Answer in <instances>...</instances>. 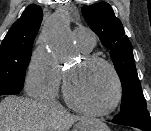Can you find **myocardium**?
<instances>
[{"instance_id":"obj_1","label":"myocardium","mask_w":151,"mask_h":131,"mask_svg":"<svg viewBox=\"0 0 151 131\" xmlns=\"http://www.w3.org/2000/svg\"><path fill=\"white\" fill-rule=\"evenodd\" d=\"M83 63L85 65H90V64H101L105 66L109 72L111 73V76L114 81V86H115V93L112 101L108 106L102 109H93L89 108L79 101H77L71 94L69 90V84H68V78H69V72L66 73L65 78H64V83H63V95L66 100V102L74 109L77 111L89 115V116H96V117H103L111 114L114 112L117 107L119 106L122 97H123V86L122 82L120 79V76L115 69V67L106 59L96 56V55H85L83 57Z\"/></svg>"}]
</instances>
